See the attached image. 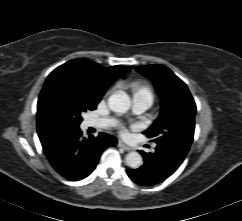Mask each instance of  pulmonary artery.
<instances>
[{"label": "pulmonary artery", "instance_id": "1", "mask_svg": "<svg viewBox=\"0 0 242 221\" xmlns=\"http://www.w3.org/2000/svg\"><path fill=\"white\" fill-rule=\"evenodd\" d=\"M132 104L133 112L135 114H139L148 109L151 106L152 101L148 97L133 96ZM88 124L89 126L95 128H110L115 126L116 120L113 118L91 119Z\"/></svg>", "mask_w": 242, "mask_h": 221}]
</instances>
